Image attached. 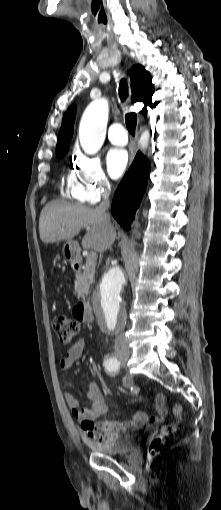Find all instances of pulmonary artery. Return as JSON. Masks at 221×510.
Segmentation results:
<instances>
[{"mask_svg": "<svg viewBox=\"0 0 221 510\" xmlns=\"http://www.w3.org/2000/svg\"><path fill=\"white\" fill-rule=\"evenodd\" d=\"M109 140L117 146H125L128 143V135L125 127L121 123H113L108 132Z\"/></svg>", "mask_w": 221, "mask_h": 510, "instance_id": "obj_1", "label": "pulmonary artery"}]
</instances>
